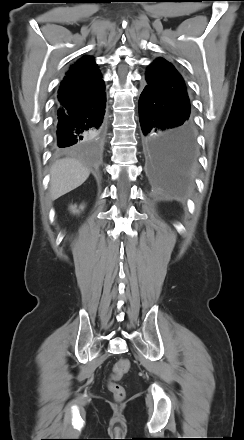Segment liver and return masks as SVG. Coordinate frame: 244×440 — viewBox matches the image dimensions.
<instances>
[{"label": "liver", "instance_id": "obj_1", "mask_svg": "<svg viewBox=\"0 0 244 440\" xmlns=\"http://www.w3.org/2000/svg\"><path fill=\"white\" fill-rule=\"evenodd\" d=\"M90 175L89 169L71 158L57 160L50 169V197L56 200L82 185Z\"/></svg>", "mask_w": 244, "mask_h": 440}]
</instances>
